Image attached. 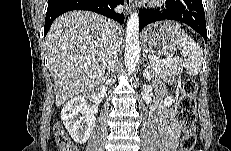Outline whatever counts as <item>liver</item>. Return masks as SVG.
<instances>
[{"label": "liver", "mask_w": 231, "mask_h": 151, "mask_svg": "<svg viewBox=\"0 0 231 151\" xmlns=\"http://www.w3.org/2000/svg\"><path fill=\"white\" fill-rule=\"evenodd\" d=\"M109 20L88 11H71L58 17L46 39L56 106L93 89L107 68ZM121 44V31L116 35Z\"/></svg>", "instance_id": "6515ba94"}]
</instances>
